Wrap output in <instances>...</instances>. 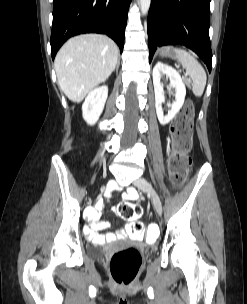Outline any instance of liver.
<instances>
[{
  "instance_id": "obj_1",
  "label": "liver",
  "mask_w": 247,
  "mask_h": 304,
  "mask_svg": "<svg viewBox=\"0 0 247 304\" xmlns=\"http://www.w3.org/2000/svg\"><path fill=\"white\" fill-rule=\"evenodd\" d=\"M118 55L117 45L105 35L84 34L69 39L54 62L60 89L71 101L81 102L109 78Z\"/></svg>"
}]
</instances>
